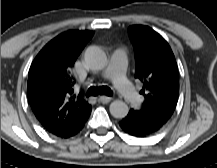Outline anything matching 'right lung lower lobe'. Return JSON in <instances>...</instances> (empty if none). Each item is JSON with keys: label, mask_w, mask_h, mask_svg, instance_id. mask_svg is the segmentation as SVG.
<instances>
[{"label": "right lung lower lobe", "mask_w": 217, "mask_h": 168, "mask_svg": "<svg viewBox=\"0 0 217 168\" xmlns=\"http://www.w3.org/2000/svg\"><path fill=\"white\" fill-rule=\"evenodd\" d=\"M89 117V116H88ZM88 119V118H87ZM87 119H85L82 123H80L78 126H76L74 129H72L69 132H66L58 137L61 138H69L71 136L76 135L80 130H82V128L84 127L85 122L87 121Z\"/></svg>", "instance_id": "1"}]
</instances>
